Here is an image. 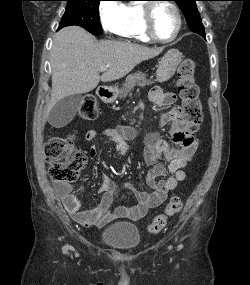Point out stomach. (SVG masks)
<instances>
[{
	"label": "stomach",
	"mask_w": 250,
	"mask_h": 285,
	"mask_svg": "<svg viewBox=\"0 0 250 285\" xmlns=\"http://www.w3.org/2000/svg\"><path fill=\"white\" fill-rule=\"evenodd\" d=\"M182 61V54L177 49H170L162 57L159 66L156 71V81L164 83L171 79L176 72L177 67ZM117 96V91L114 90V94L111 97L114 100Z\"/></svg>",
	"instance_id": "stomach-1"
}]
</instances>
